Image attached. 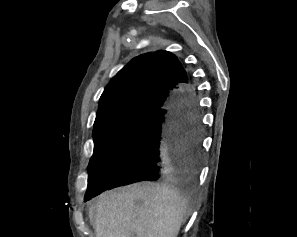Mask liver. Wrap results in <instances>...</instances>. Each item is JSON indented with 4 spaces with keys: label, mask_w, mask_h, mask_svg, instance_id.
Here are the masks:
<instances>
[{
    "label": "liver",
    "mask_w": 297,
    "mask_h": 237,
    "mask_svg": "<svg viewBox=\"0 0 297 237\" xmlns=\"http://www.w3.org/2000/svg\"><path fill=\"white\" fill-rule=\"evenodd\" d=\"M191 212L177 188L146 182L104 192L89 217L96 237H176Z\"/></svg>",
    "instance_id": "1"
}]
</instances>
